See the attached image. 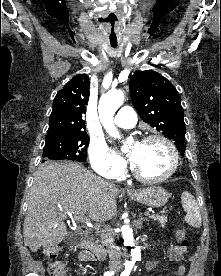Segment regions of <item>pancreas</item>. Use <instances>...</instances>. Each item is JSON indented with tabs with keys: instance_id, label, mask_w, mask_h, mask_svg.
<instances>
[{
	"instance_id": "obj_1",
	"label": "pancreas",
	"mask_w": 221,
	"mask_h": 276,
	"mask_svg": "<svg viewBox=\"0 0 221 276\" xmlns=\"http://www.w3.org/2000/svg\"><path fill=\"white\" fill-rule=\"evenodd\" d=\"M153 220L159 222L161 226H164L167 222V217L165 215H158V214H153L150 216ZM97 242L95 243L94 247H96Z\"/></svg>"
}]
</instances>
